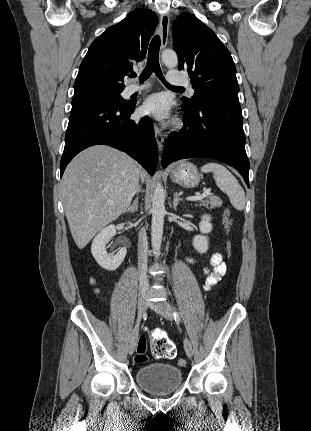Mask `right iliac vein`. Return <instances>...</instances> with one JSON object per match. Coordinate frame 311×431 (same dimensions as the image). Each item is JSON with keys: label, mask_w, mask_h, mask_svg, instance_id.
Returning a JSON list of instances; mask_svg holds the SVG:
<instances>
[{"label": "right iliac vein", "mask_w": 311, "mask_h": 431, "mask_svg": "<svg viewBox=\"0 0 311 431\" xmlns=\"http://www.w3.org/2000/svg\"><path fill=\"white\" fill-rule=\"evenodd\" d=\"M147 308V295L145 293L140 294L138 298V323L133 330L130 340H129V354L132 355L136 348L137 337H138V326L139 321L141 320L142 315L144 314Z\"/></svg>", "instance_id": "right-iliac-vein-1"}]
</instances>
